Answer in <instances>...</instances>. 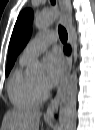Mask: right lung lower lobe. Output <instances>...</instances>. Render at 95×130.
<instances>
[{
	"label": "right lung lower lobe",
	"mask_w": 95,
	"mask_h": 130,
	"mask_svg": "<svg viewBox=\"0 0 95 130\" xmlns=\"http://www.w3.org/2000/svg\"><path fill=\"white\" fill-rule=\"evenodd\" d=\"M64 50H65V52H66L67 54L70 53V47H69V46H65Z\"/></svg>",
	"instance_id": "obj_1"
}]
</instances>
